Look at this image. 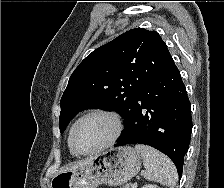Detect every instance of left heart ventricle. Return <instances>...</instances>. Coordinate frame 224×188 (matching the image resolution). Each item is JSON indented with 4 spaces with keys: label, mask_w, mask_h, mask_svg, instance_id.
<instances>
[{
    "label": "left heart ventricle",
    "mask_w": 224,
    "mask_h": 188,
    "mask_svg": "<svg viewBox=\"0 0 224 188\" xmlns=\"http://www.w3.org/2000/svg\"><path fill=\"white\" fill-rule=\"evenodd\" d=\"M114 132L112 120L104 115L86 118L77 128L75 145L80 151L92 150L105 143Z\"/></svg>",
    "instance_id": "b2bd125f"
}]
</instances>
